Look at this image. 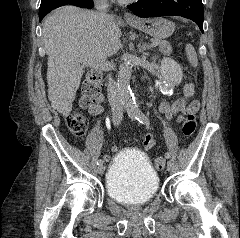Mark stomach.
Here are the masks:
<instances>
[{
    "label": "stomach",
    "instance_id": "1",
    "mask_svg": "<svg viewBox=\"0 0 240 238\" xmlns=\"http://www.w3.org/2000/svg\"><path fill=\"white\" fill-rule=\"evenodd\" d=\"M129 25L156 39H165L175 30V24L164 18L141 19Z\"/></svg>",
    "mask_w": 240,
    "mask_h": 238
}]
</instances>
